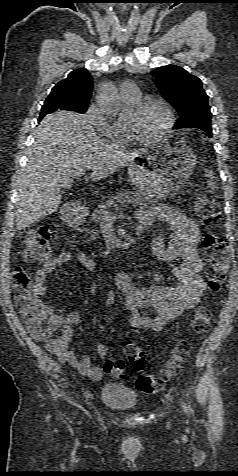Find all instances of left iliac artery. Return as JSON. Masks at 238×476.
I'll return each mask as SVG.
<instances>
[{
    "label": "left iliac artery",
    "instance_id": "obj_1",
    "mask_svg": "<svg viewBox=\"0 0 238 476\" xmlns=\"http://www.w3.org/2000/svg\"><path fill=\"white\" fill-rule=\"evenodd\" d=\"M182 406L184 408V411L189 414V406H187L184 402H182Z\"/></svg>",
    "mask_w": 238,
    "mask_h": 476
}]
</instances>
